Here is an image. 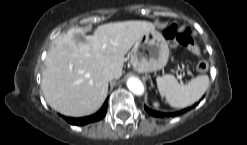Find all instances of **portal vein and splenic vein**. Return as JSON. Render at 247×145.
Instances as JSON below:
<instances>
[{
	"instance_id": "18ae733b",
	"label": "portal vein and splenic vein",
	"mask_w": 247,
	"mask_h": 145,
	"mask_svg": "<svg viewBox=\"0 0 247 145\" xmlns=\"http://www.w3.org/2000/svg\"><path fill=\"white\" fill-rule=\"evenodd\" d=\"M177 78H178L179 80H182V76H181V75H177Z\"/></svg>"
}]
</instances>
